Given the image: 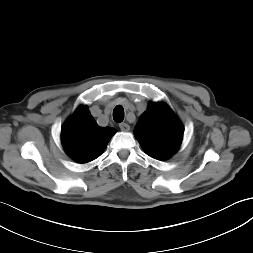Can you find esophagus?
<instances>
[{
    "label": "esophagus",
    "mask_w": 253,
    "mask_h": 253,
    "mask_svg": "<svg viewBox=\"0 0 253 253\" xmlns=\"http://www.w3.org/2000/svg\"><path fill=\"white\" fill-rule=\"evenodd\" d=\"M119 127L122 131H129L130 130V126L127 123H120Z\"/></svg>",
    "instance_id": "34e87169"
}]
</instances>
